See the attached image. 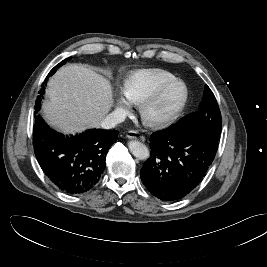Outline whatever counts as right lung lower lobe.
Returning <instances> with one entry per match:
<instances>
[{"label":"right lung lower lobe","instance_id":"right-lung-lower-lobe-1","mask_svg":"<svg viewBox=\"0 0 267 267\" xmlns=\"http://www.w3.org/2000/svg\"><path fill=\"white\" fill-rule=\"evenodd\" d=\"M117 139L118 131L100 129L64 136L35 116L33 144L38 163L51 182L69 194L94 187L105 169L107 152Z\"/></svg>","mask_w":267,"mask_h":267}]
</instances>
